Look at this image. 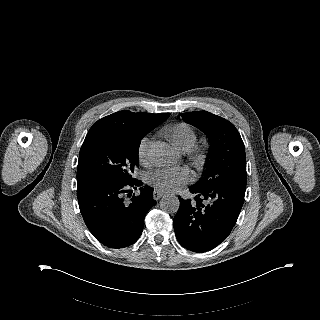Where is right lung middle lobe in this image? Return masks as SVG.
<instances>
[{
    "mask_svg": "<svg viewBox=\"0 0 320 320\" xmlns=\"http://www.w3.org/2000/svg\"><path fill=\"white\" fill-rule=\"evenodd\" d=\"M141 140L142 137L103 138L82 147L77 171H97L121 181H132V173L139 166L138 151Z\"/></svg>",
    "mask_w": 320,
    "mask_h": 320,
    "instance_id": "obj_1",
    "label": "right lung middle lobe"
}]
</instances>
